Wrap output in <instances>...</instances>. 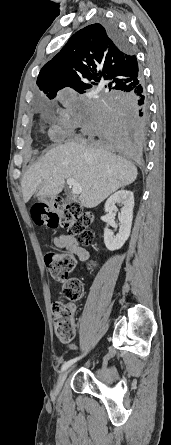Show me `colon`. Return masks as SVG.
<instances>
[{
    "mask_svg": "<svg viewBox=\"0 0 171 445\" xmlns=\"http://www.w3.org/2000/svg\"><path fill=\"white\" fill-rule=\"evenodd\" d=\"M53 211L48 206L37 204L32 209V217L38 226L49 229L65 228L71 235L90 245L93 234L88 230L92 215L77 202L56 200ZM46 265L51 277L57 281H66L62 297L53 303L52 311L55 320V336L62 343H69L74 339L75 326L72 320L73 307L71 301L77 300L82 294V284L77 278H68L76 265V256L71 253L48 251L45 255Z\"/></svg>",
    "mask_w": 171,
    "mask_h": 445,
    "instance_id": "colon-1",
    "label": "colon"
}]
</instances>
